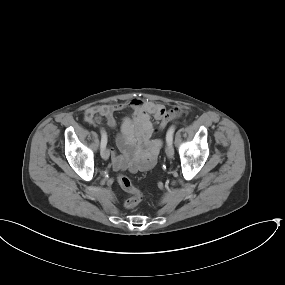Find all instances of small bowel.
I'll return each instance as SVG.
<instances>
[{"label":"small bowel","instance_id":"obj_1","mask_svg":"<svg viewBox=\"0 0 285 285\" xmlns=\"http://www.w3.org/2000/svg\"><path fill=\"white\" fill-rule=\"evenodd\" d=\"M159 107V104L152 101L132 99L126 103L94 105L85 110L86 123L93 125L104 121L109 128L117 126L116 113L126 109L132 113L123 120L117 137L123 155L112 152L114 170L147 171L155 165L162 146L160 140L153 138V118H160L157 114Z\"/></svg>","mask_w":285,"mask_h":285}]
</instances>
